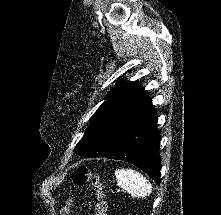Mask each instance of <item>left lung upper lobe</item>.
<instances>
[{"instance_id": "left-lung-upper-lobe-1", "label": "left lung upper lobe", "mask_w": 221, "mask_h": 215, "mask_svg": "<svg viewBox=\"0 0 221 215\" xmlns=\"http://www.w3.org/2000/svg\"><path fill=\"white\" fill-rule=\"evenodd\" d=\"M144 96L138 82L122 81L108 94L74 151L83 157H99L118 122Z\"/></svg>"}]
</instances>
